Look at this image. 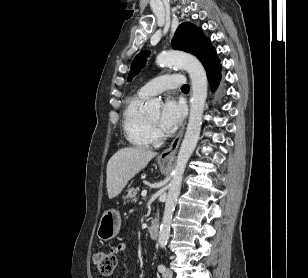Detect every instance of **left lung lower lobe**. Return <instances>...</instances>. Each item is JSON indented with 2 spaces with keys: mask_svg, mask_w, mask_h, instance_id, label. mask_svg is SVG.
<instances>
[{
  "mask_svg": "<svg viewBox=\"0 0 308 278\" xmlns=\"http://www.w3.org/2000/svg\"><path fill=\"white\" fill-rule=\"evenodd\" d=\"M207 77L212 90H215L221 78V65L218 64L213 69L208 70Z\"/></svg>",
  "mask_w": 308,
  "mask_h": 278,
  "instance_id": "1",
  "label": "left lung lower lobe"
}]
</instances>
